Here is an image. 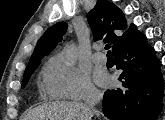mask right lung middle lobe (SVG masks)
<instances>
[{
  "label": "right lung middle lobe",
  "instance_id": "1",
  "mask_svg": "<svg viewBox=\"0 0 165 120\" xmlns=\"http://www.w3.org/2000/svg\"><path fill=\"white\" fill-rule=\"evenodd\" d=\"M40 64V61H37L33 64H31L24 73V77H23V82H22V88L26 86V84L28 83L29 78L31 77V74L35 71V69L38 67V65Z\"/></svg>",
  "mask_w": 165,
  "mask_h": 120
}]
</instances>
